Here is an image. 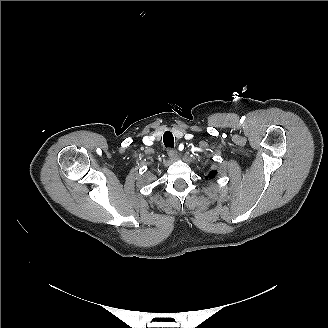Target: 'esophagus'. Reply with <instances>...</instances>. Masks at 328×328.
<instances>
[{"instance_id": "1", "label": "esophagus", "mask_w": 328, "mask_h": 328, "mask_svg": "<svg viewBox=\"0 0 328 328\" xmlns=\"http://www.w3.org/2000/svg\"><path fill=\"white\" fill-rule=\"evenodd\" d=\"M168 156L171 158V159H176L177 156H178V152L174 149H170L168 150Z\"/></svg>"}]
</instances>
